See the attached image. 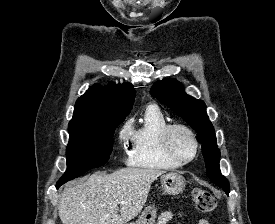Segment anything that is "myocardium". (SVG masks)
Returning a JSON list of instances; mask_svg holds the SVG:
<instances>
[{"instance_id": "f54148a6", "label": "myocardium", "mask_w": 275, "mask_h": 224, "mask_svg": "<svg viewBox=\"0 0 275 224\" xmlns=\"http://www.w3.org/2000/svg\"><path fill=\"white\" fill-rule=\"evenodd\" d=\"M176 131H182L186 133L192 140L194 144V152L191 156L189 157H181L178 155L171 144L172 141V136ZM161 146L164 151V153L173 161L178 163L180 166L181 165H186L190 162H192L198 155L199 153V141L197 138L196 133L187 125L180 124V123H174V124H169L165 127V129L162 132L161 135Z\"/></svg>"}]
</instances>
